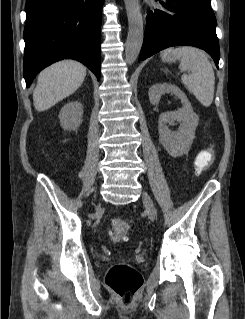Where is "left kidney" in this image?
<instances>
[{
	"label": "left kidney",
	"instance_id": "obj_1",
	"mask_svg": "<svg viewBox=\"0 0 245 319\" xmlns=\"http://www.w3.org/2000/svg\"><path fill=\"white\" fill-rule=\"evenodd\" d=\"M165 93H171L180 98L182 108L177 111L160 114L158 120L159 140L171 156L178 157L189 152L195 138L199 117L194 113L183 91L170 83L152 85L148 92L150 103L157 105L161 96ZM174 121L181 122L177 132L171 131L167 126V124H172Z\"/></svg>",
	"mask_w": 245,
	"mask_h": 319
}]
</instances>
